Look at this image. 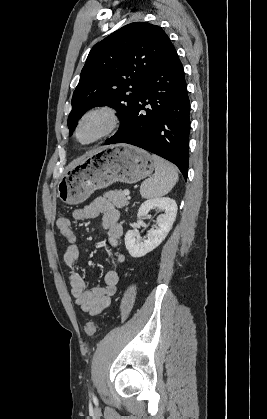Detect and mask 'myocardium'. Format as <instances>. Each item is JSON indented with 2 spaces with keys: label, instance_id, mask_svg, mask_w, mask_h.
<instances>
[{
  "label": "myocardium",
  "instance_id": "obj_1",
  "mask_svg": "<svg viewBox=\"0 0 267 419\" xmlns=\"http://www.w3.org/2000/svg\"><path fill=\"white\" fill-rule=\"evenodd\" d=\"M92 117H101L104 120V126L94 138L88 141H82L79 135L80 129L84 123ZM120 123L121 117L115 107L109 104L96 105L87 109L79 118L75 126L74 136L78 143L82 145H92L111 135L119 127Z\"/></svg>",
  "mask_w": 267,
  "mask_h": 419
}]
</instances>
